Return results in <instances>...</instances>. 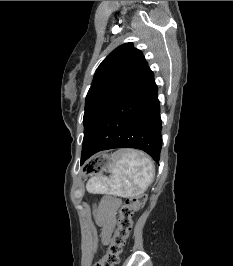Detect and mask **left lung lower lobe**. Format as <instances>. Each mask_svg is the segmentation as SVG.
Segmentation results:
<instances>
[{
    "mask_svg": "<svg viewBox=\"0 0 233 266\" xmlns=\"http://www.w3.org/2000/svg\"><path fill=\"white\" fill-rule=\"evenodd\" d=\"M160 104L148 64L110 105L82 146L81 164L93 154L113 148H136L157 163L161 151Z\"/></svg>",
    "mask_w": 233,
    "mask_h": 266,
    "instance_id": "1",
    "label": "left lung lower lobe"
}]
</instances>
